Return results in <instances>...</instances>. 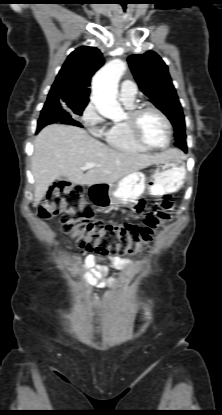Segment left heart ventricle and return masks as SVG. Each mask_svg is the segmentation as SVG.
I'll use <instances>...</instances> for the list:
<instances>
[{
    "label": "left heart ventricle",
    "instance_id": "obj_1",
    "mask_svg": "<svg viewBox=\"0 0 222 415\" xmlns=\"http://www.w3.org/2000/svg\"><path fill=\"white\" fill-rule=\"evenodd\" d=\"M140 131L150 144L162 146L167 141V127L162 118L153 111L145 112L140 118Z\"/></svg>",
    "mask_w": 222,
    "mask_h": 415
}]
</instances>
